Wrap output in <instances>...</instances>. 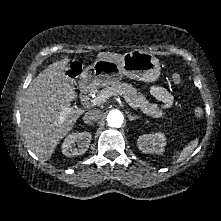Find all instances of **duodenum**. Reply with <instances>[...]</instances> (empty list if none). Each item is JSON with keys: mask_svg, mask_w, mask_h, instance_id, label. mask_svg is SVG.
Returning a JSON list of instances; mask_svg holds the SVG:
<instances>
[{"mask_svg": "<svg viewBox=\"0 0 221 221\" xmlns=\"http://www.w3.org/2000/svg\"><path fill=\"white\" fill-rule=\"evenodd\" d=\"M93 93L94 89L89 84L85 83L81 88L80 97L82 101L87 102L92 98Z\"/></svg>", "mask_w": 221, "mask_h": 221, "instance_id": "1", "label": "duodenum"}]
</instances>
